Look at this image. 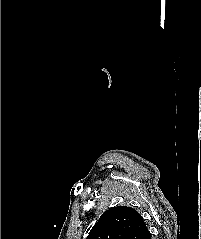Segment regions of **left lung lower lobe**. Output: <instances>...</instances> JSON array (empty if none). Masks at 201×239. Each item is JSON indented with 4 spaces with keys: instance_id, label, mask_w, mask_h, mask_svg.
Masks as SVG:
<instances>
[{
    "instance_id": "left-lung-lower-lobe-1",
    "label": "left lung lower lobe",
    "mask_w": 201,
    "mask_h": 239,
    "mask_svg": "<svg viewBox=\"0 0 201 239\" xmlns=\"http://www.w3.org/2000/svg\"><path fill=\"white\" fill-rule=\"evenodd\" d=\"M148 239H151V234H150V236H149V238Z\"/></svg>"
}]
</instances>
